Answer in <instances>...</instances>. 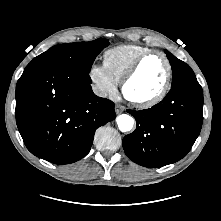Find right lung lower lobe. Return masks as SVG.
Masks as SVG:
<instances>
[{
    "mask_svg": "<svg viewBox=\"0 0 221 221\" xmlns=\"http://www.w3.org/2000/svg\"><path fill=\"white\" fill-rule=\"evenodd\" d=\"M89 73L26 67L16 85V122L27 149L54 164L86 156L96 129L116 117L114 103L96 96Z\"/></svg>",
    "mask_w": 221,
    "mask_h": 221,
    "instance_id": "1",
    "label": "right lung lower lobe"
}]
</instances>
